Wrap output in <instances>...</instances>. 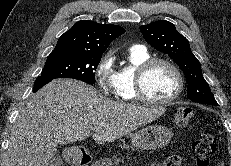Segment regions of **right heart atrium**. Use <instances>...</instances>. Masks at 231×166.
Here are the masks:
<instances>
[{
  "label": "right heart atrium",
  "instance_id": "right-heart-atrium-1",
  "mask_svg": "<svg viewBox=\"0 0 231 166\" xmlns=\"http://www.w3.org/2000/svg\"><path fill=\"white\" fill-rule=\"evenodd\" d=\"M114 61V53L109 51L102 56L95 69V78L99 89L109 96L118 95V77Z\"/></svg>",
  "mask_w": 231,
  "mask_h": 166
}]
</instances>
